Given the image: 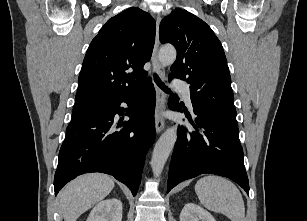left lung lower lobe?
Wrapping results in <instances>:
<instances>
[{
    "label": "left lung lower lobe",
    "instance_id": "0a47b994",
    "mask_svg": "<svg viewBox=\"0 0 307 221\" xmlns=\"http://www.w3.org/2000/svg\"><path fill=\"white\" fill-rule=\"evenodd\" d=\"M170 109L181 111L178 99L170 97ZM196 131L178 127V139L172 154L167 192L178 183L203 173L227 177L249 194V181L239 141L238 125L193 104Z\"/></svg>",
    "mask_w": 307,
    "mask_h": 221
}]
</instances>
